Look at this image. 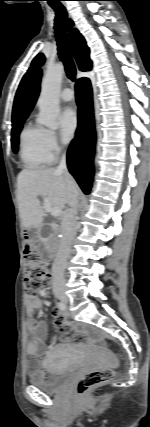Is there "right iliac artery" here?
Returning <instances> with one entry per match:
<instances>
[{
    "instance_id": "obj_1",
    "label": "right iliac artery",
    "mask_w": 150,
    "mask_h": 427,
    "mask_svg": "<svg viewBox=\"0 0 150 427\" xmlns=\"http://www.w3.org/2000/svg\"><path fill=\"white\" fill-rule=\"evenodd\" d=\"M58 307H59L61 310H65V309H66L65 304H64V303H62V302H59V303H58Z\"/></svg>"
}]
</instances>
